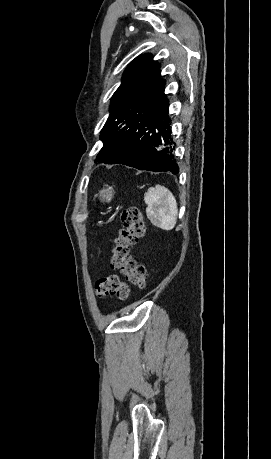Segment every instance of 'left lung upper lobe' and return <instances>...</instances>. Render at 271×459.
I'll use <instances>...</instances> for the list:
<instances>
[{
  "label": "left lung upper lobe",
  "mask_w": 271,
  "mask_h": 459,
  "mask_svg": "<svg viewBox=\"0 0 271 459\" xmlns=\"http://www.w3.org/2000/svg\"><path fill=\"white\" fill-rule=\"evenodd\" d=\"M159 64L151 54L137 57L126 68L122 83L111 99L109 117L100 132L103 147L95 162L106 157L109 150L110 134L130 117H140L154 105L155 93L163 86Z\"/></svg>",
  "instance_id": "left-lung-upper-lobe-1"
}]
</instances>
